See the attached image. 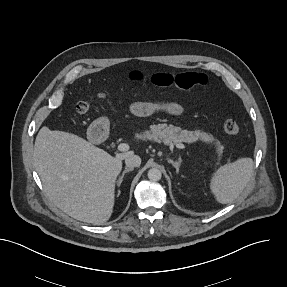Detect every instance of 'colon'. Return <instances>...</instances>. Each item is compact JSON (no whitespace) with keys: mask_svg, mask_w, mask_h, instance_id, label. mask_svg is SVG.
Listing matches in <instances>:
<instances>
[{"mask_svg":"<svg viewBox=\"0 0 287 287\" xmlns=\"http://www.w3.org/2000/svg\"><path fill=\"white\" fill-rule=\"evenodd\" d=\"M128 80L134 83L144 82L146 77L141 72L135 71L128 76ZM148 80L158 87H177L184 90H191L196 87L205 86L207 77L203 74L194 72H181L177 74L169 73H154ZM104 94H99L97 99H103ZM91 101H81L77 105V111L80 114H85L91 109ZM223 129L227 134L239 135L242 133L241 125L233 120L227 119L223 123Z\"/></svg>","mask_w":287,"mask_h":287,"instance_id":"obj_1","label":"colon"}]
</instances>
